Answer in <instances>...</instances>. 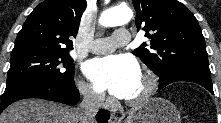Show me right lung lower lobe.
<instances>
[{"label":"right lung lower lobe","instance_id":"obj_1","mask_svg":"<svg viewBox=\"0 0 221 123\" xmlns=\"http://www.w3.org/2000/svg\"><path fill=\"white\" fill-rule=\"evenodd\" d=\"M25 98H41L73 106L79 100V91L74 82L42 85L39 81L32 80L9 85L2 97L0 113L11 103ZM109 116L108 111L100 110L96 118L99 123H106Z\"/></svg>","mask_w":221,"mask_h":123}]
</instances>
